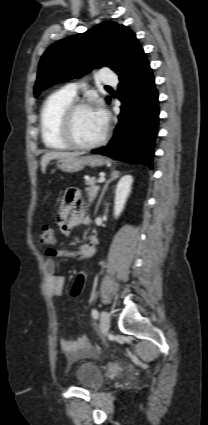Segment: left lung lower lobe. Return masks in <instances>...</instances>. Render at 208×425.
Instances as JSON below:
<instances>
[{
	"mask_svg": "<svg viewBox=\"0 0 208 425\" xmlns=\"http://www.w3.org/2000/svg\"><path fill=\"white\" fill-rule=\"evenodd\" d=\"M119 80L122 105L114 136L106 147L92 152L152 168L159 108L154 77L145 54Z\"/></svg>",
	"mask_w": 208,
	"mask_h": 425,
	"instance_id": "1",
	"label": "left lung lower lobe"
}]
</instances>
